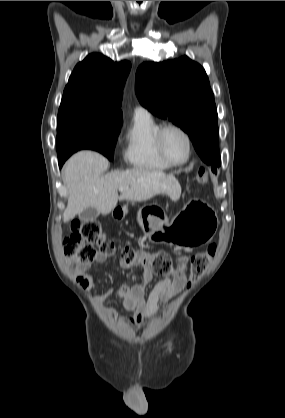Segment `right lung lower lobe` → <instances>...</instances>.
Segmentation results:
<instances>
[{
	"mask_svg": "<svg viewBox=\"0 0 285 418\" xmlns=\"http://www.w3.org/2000/svg\"><path fill=\"white\" fill-rule=\"evenodd\" d=\"M67 158L64 159H58L59 161V166L62 167V165L64 164V162L66 161Z\"/></svg>",
	"mask_w": 285,
	"mask_h": 418,
	"instance_id": "1",
	"label": "right lung lower lobe"
}]
</instances>
